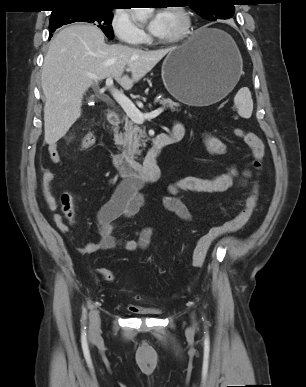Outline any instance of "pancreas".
<instances>
[{
    "label": "pancreas",
    "instance_id": "pancreas-1",
    "mask_svg": "<svg viewBox=\"0 0 306 387\" xmlns=\"http://www.w3.org/2000/svg\"><path fill=\"white\" fill-rule=\"evenodd\" d=\"M159 104L163 105L164 107H169L172 111H174L176 107H179V104L172 101L170 98H162L159 100ZM123 121L124 132L119 134L117 144L122 147V152L124 155H140L142 152L140 147L146 146V132L144 129H141L138 125L134 124V122L129 120L127 117H124Z\"/></svg>",
    "mask_w": 306,
    "mask_h": 387
}]
</instances>
